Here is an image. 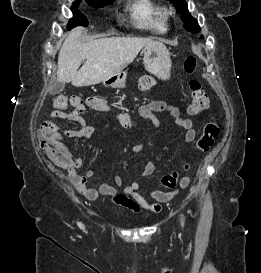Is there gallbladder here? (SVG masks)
I'll list each match as a JSON object with an SVG mask.
<instances>
[{
    "instance_id": "bac80fb5",
    "label": "gallbladder",
    "mask_w": 261,
    "mask_h": 273,
    "mask_svg": "<svg viewBox=\"0 0 261 273\" xmlns=\"http://www.w3.org/2000/svg\"><path fill=\"white\" fill-rule=\"evenodd\" d=\"M64 88H65V83L57 81L54 83L52 89L50 90V94L52 95L59 94L64 90Z\"/></svg>"
}]
</instances>
